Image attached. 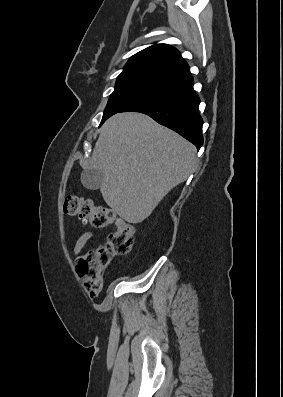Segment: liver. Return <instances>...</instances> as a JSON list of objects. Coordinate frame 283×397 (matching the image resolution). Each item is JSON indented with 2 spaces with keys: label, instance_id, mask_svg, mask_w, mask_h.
Listing matches in <instances>:
<instances>
[{
  "label": "liver",
  "instance_id": "obj_1",
  "mask_svg": "<svg viewBox=\"0 0 283 397\" xmlns=\"http://www.w3.org/2000/svg\"><path fill=\"white\" fill-rule=\"evenodd\" d=\"M196 148L147 115L118 113L100 130L85 169L104 174L103 199L122 219L137 224L196 167Z\"/></svg>",
  "mask_w": 283,
  "mask_h": 397
}]
</instances>
